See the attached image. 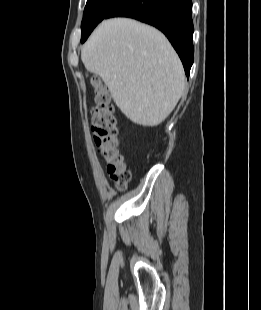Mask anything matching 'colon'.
<instances>
[{
  "label": "colon",
  "mask_w": 261,
  "mask_h": 310,
  "mask_svg": "<svg viewBox=\"0 0 261 310\" xmlns=\"http://www.w3.org/2000/svg\"><path fill=\"white\" fill-rule=\"evenodd\" d=\"M96 94L92 113V132L99 153L104 158L110 178L119 190H124L131 178L123 153L120 151L119 123L107 90L94 81Z\"/></svg>",
  "instance_id": "obj_1"
}]
</instances>
